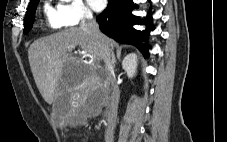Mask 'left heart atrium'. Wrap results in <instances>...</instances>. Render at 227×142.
I'll return each instance as SVG.
<instances>
[{"label": "left heart atrium", "instance_id": "left-heart-atrium-1", "mask_svg": "<svg viewBox=\"0 0 227 142\" xmlns=\"http://www.w3.org/2000/svg\"><path fill=\"white\" fill-rule=\"evenodd\" d=\"M87 2L95 11H101L107 5V0H87Z\"/></svg>", "mask_w": 227, "mask_h": 142}]
</instances>
